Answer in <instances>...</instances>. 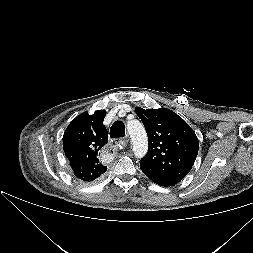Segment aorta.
Listing matches in <instances>:
<instances>
[{
	"label": "aorta",
	"mask_w": 253,
	"mask_h": 253,
	"mask_svg": "<svg viewBox=\"0 0 253 253\" xmlns=\"http://www.w3.org/2000/svg\"><path fill=\"white\" fill-rule=\"evenodd\" d=\"M127 130L133 143V151L136 157H143L148 149V139L143 125L136 120L127 123Z\"/></svg>",
	"instance_id": "762f6f07"
}]
</instances>
